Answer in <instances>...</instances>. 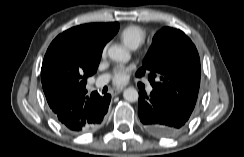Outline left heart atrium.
I'll return each mask as SVG.
<instances>
[{"label": "left heart atrium", "instance_id": "obj_1", "mask_svg": "<svg viewBox=\"0 0 244 157\" xmlns=\"http://www.w3.org/2000/svg\"><path fill=\"white\" fill-rule=\"evenodd\" d=\"M129 70L127 66H118L114 70L113 82L117 85L123 84L127 80Z\"/></svg>", "mask_w": 244, "mask_h": 157}]
</instances>
